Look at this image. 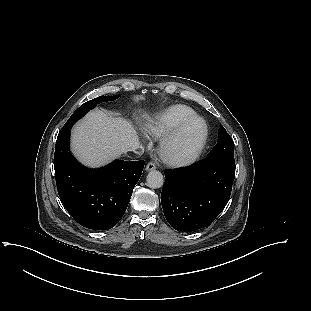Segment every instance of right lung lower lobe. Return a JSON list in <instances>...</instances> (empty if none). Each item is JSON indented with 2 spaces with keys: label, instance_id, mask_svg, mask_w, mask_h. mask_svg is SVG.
<instances>
[{
  "label": "right lung lower lobe",
  "instance_id": "1",
  "mask_svg": "<svg viewBox=\"0 0 311 311\" xmlns=\"http://www.w3.org/2000/svg\"><path fill=\"white\" fill-rule=\"evenodd\" d=\"M70 130L58 135L54 169L58 194L69 214L82 226L108 230L124 215L144 161H122L88 169L69 151Z\"/></svg>",
  "mask_w": 311,
  "mask_h": 311
}]
</instances>
